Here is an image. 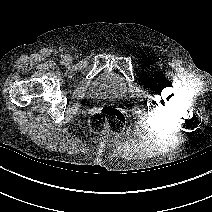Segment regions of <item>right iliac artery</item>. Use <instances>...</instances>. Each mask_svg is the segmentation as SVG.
Wrapping results in <instances>:
<instances>
[{
  "label": "right iliac artery",
  "mask_w": 212,
  "mask_h": 212,
  "mask_svg": "<svg viewBox=\"0 0 212 212\" xmlns=\"http://www.w3.org/2000/svg\"><path fill=\"white\" fill-rule=\"evenodd\" d=\"M61 58H62V60H63V59H65V56H64V55H62V56H61Z\"/></svg>",
  "instance_id": "82829eb1"
}]
</instances>
